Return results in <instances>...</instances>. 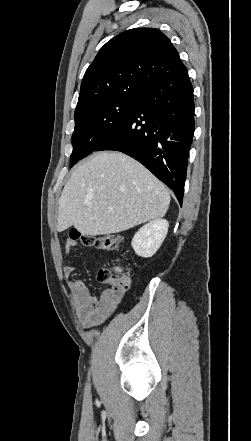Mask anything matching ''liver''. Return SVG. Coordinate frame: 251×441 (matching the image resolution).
Masks as SVG:
<instances>
[{
  "mask_svg": "<svg viewBox=\"0 0 251 441\" xmlns=\"http://www.w3.org/2000/svg\"><path fill=\"white\" fill-rule=\"evenodd\" d=\"M166 187L142 164L120 152H99L81 163L64 186L57 231L74 226L87 236L122 232L163 217Z\"/></svg>",
  "mask_w": 251,
  "mask_h": 441,
  "instance_id": "obj_1",
  "label": "liver"
}]
</instances>
